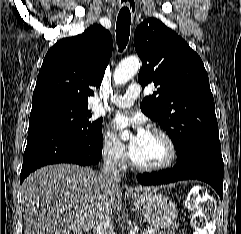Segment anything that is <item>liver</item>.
Here are the masks:
<instances>
[{"label": "liver", "instance_id": "6515ba94", "mask_svg": "<svg viewBox=\"0 0 241 234\" xmlns=\"http://www.w3.org/2000/svg\"><path fill=\"white\" fill-rule=\"evenodd\" d=\"M136 192L149 187L138 185ZM24 234H83L122 207V188L90 167L49 165L22 184Z\"/></svg>", "mask_w": 241, "mask_h": 234}]
</instances>
